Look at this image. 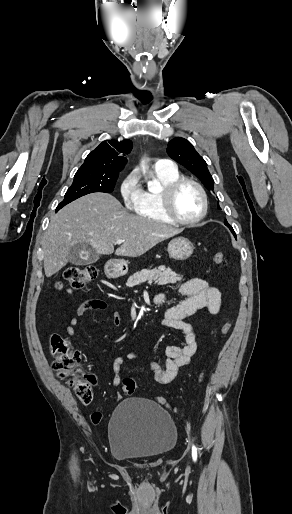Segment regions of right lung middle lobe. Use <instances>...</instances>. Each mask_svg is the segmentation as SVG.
Masks as SVG:
<instances>
[{"mask_svg":"<svg viewBox=\"0 0 292 514\" xmlns=\"http://www.w3.org/2000/svg\"><path fill=\"white\" fill-rule=\"evenodd\" d=\"M118 177L75 175L72 185L68 188L64 200L56 211L75 199L93 192L111 193Z\"/></svg>","mask_w":292,"mask_h":514,"instance_id":"obj_1","label":"right lung middle lobe"}]
</instances>
